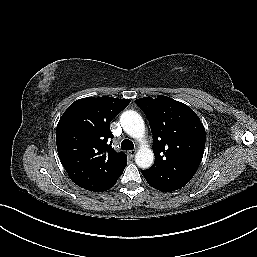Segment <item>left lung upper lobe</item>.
<instances>
[{
	"mask_svg": "<svg viewBox=\"0 0 257 257\" xmlns=\"http://www.w3.org/2000/svg\"><path fill=\"white\" fill-rule=\"evenodd\" d=\"M148 118L153 134L155 162L151 168L196 173L205 148L203 124L187 105L167 96L135 100Z\"/></svg>",
	"mask_w": 257,
	"mask_h": 257,
	"instance_id": "obj_1",
	"label": "left lung upper lobe"
}]
</instances>
